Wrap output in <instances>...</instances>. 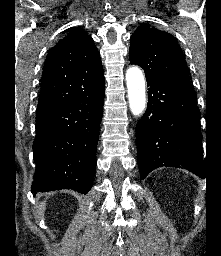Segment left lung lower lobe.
<instances>
[{
  "label": "left lung lower lobe",
  "mask_w": 221,
  "mask_h": 256,
  "mask_svg": "<svg viewBox=\"0 0 221 256\" xmlns=\"http://www.w3.org/2000/svg\"><path fill=\"white\" fill-rule=\"evenodd\" d=\"M147 85V110L136 125L141 178L162 166L184 168L204 178L200 111L191 83L149 79Z\"/></svg>",
  "instance_id": "1"
}]
</instances>
